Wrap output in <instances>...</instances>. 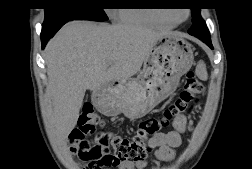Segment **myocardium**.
<instances>
[{
    "mask_svg": "<svg viewBox=\"0 0 252 169\" xmlns=\"http://www.w3.org/2000/svg\"><path fill=\"white\" fill-rule=\"evenodd\" d=\"M189 15H190V10L187 9L186 10V18H185V20L189 17ZM158 17L161 18V19H163V20H165V21H167V22H169V23H172V24H179V23H182V22L185 21V20L177 21V20H174L171 17L165 16V15H159Z\"/></svg>",
    "mask_w": 252,
    "mask_h": 169,
    "instance_id": "obj_1",
    "label": "myocardium"
}]
</instances>
